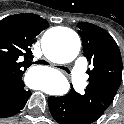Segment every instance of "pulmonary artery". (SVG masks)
I'll return each mask as SVG.
<instances>
[{
  "mask_svg": "<svg viewBox=\"0 0 124 124\" xmlns=\"http://www.w3.org/2000/svg\"><path fill=\"white\" fill-rule=\"evenodd\" d=\"M87 67V60L80 57L76 60L71 70V80L76 91H81L85 87V71Z\"/></svg>",
  "mask_w": 124,
  "mask_h": 124,
  "instance_id": "pulmonary-artery-1",
  "label": "pulmonary artery"
}]
</instances>
